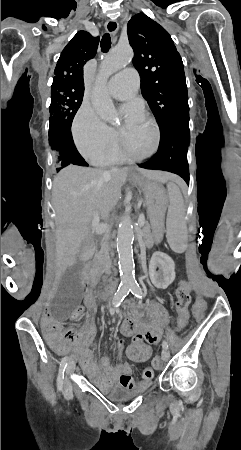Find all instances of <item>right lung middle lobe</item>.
Listing matches in <instances>:
<instances>
[{
	"mask_svg": "<svg viewBox=\"0 0 241 450\" xmlns=\"http://www.w3.org/2000/svg\"><path fill=\"white\" fill-rule=\"evenodd\" d=\"M84 94V88L69 84H53L51 86V104L49 140L52 149V164L60 171L70 163L66 156L65 141L72 139L70 127L79 109Z\"/></svg>",
	"mask_w": 241,
	"mask_h": 450,
	"instance_id": "obj_1",
	"label": "right lung middle lobe"
}]
</instances>
